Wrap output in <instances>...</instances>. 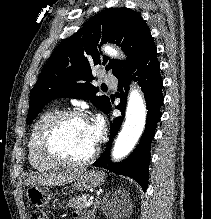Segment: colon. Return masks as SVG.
Segmentation results:
<instances>
[{
    "label": "colon",
    "mask_w": 211,
    "mask_h": 219,
    "mask_svg": "<svg viewBox=\"0 0 211 219\" xmlns=\"http://www.w3.org/2000/svg\"><path fill=\"white\" fill-rule=\"evenodd\" d=\"M31 219H53V217L48 212L35 210L31 214Z\"/></svg>",
    "instance_id": "5ec220e1"
}]
</instances>
